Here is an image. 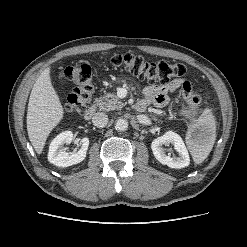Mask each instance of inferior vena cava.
Returning <instances> with one entry per match:
<instances>
[{
  "label": "inferior vena cava",
  "instance_id": "inferior-vena-cava-1",
  "mask_svg": "<svg viewBox=\"0 0 247 247\" xmlns=\"http://www.w3.org/2000/svg\"><path fill=\"white\" fill-rule=\"evenodd\" d=\"M92 122L96 127L102 128L108 123V116L103 112L95 113Z\"/></svg>",
  "mask_w": 247,
  "mask_h": 247
}]
</instances>
